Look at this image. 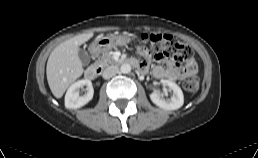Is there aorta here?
I'll list each match as a JSON object with an SVG mask.
<instances>
[{
  "mask_svg": "<svg viewBox=\"0 0 258 158\" xmlns=\"http://www.w3.org/2000/svg\"><path fill=\"white\" fill-rule=\"evenodd\" d=\"M120 71H121V73H124V74L129 73L131 71L130 64H127V63L122 64L120 67Z\"/></svg>",
  "mask_w": 258,
  "mask_h": 158,
  "instance_id": "1",
  "label": "aorta"
}]
</instances>
